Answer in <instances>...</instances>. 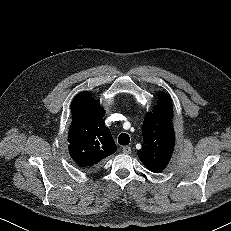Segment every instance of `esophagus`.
Here are the masks:
<instances>
[{
  "mask_svg": "<svg viewBox=\"0 0 231 231\" xmlns=\"http://www.w3.org/2000/svg\"><path fill=\"white\" fill-rule=\"evenodd\" d=\"M124 154H130L131 153V147L130 146H125L122 149Z\"/></svg>",
  "mask_w": 231,
  "mask_h": 231,
  "instance_id": "1",
  "label": "esophagus"
}]
</instances>
